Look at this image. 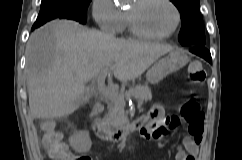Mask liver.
Wrapping results in <instances>:
<instances>
[{"instance_id":"1","label":"liver","mask_w":242,"mask_h":160,"mask_svg":"<svg viewBox=\"0 0 242 160\" xmlns=\"http://www.w3.org/2000/svg\"><path fill=\"white\" fill-rule=\"evenodd\" d=\"M169 44L117 39L70 20H55L34 31L26 46V78L33 118H60L89 101L85 83L114 64L120 81L140 77Z\"/></svg>"}]
</instances>
